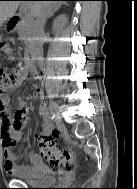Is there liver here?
<instances>
[{"mask_svg": "<svg viewBox=\"0 0 137 189\" xmlns=\"http://www.w3.org/2000/svg\"><path fill=\"white\" fill-rule=\"evenodd\" d=\"M19 1H0V28L2 27L3 23L11 18L18 6ZM61 2H49V1H35L30 2L31 5V12L33 15H37L43 8L49 7V6H56Z\"/></svg>", "mask_w": 137, "mask_h": 189, "instance_id": "1", "label": "liver"}]
</instances>
